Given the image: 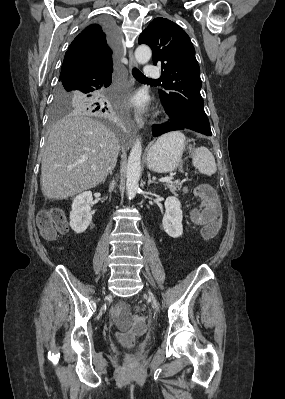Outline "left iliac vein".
<instances>
[{
	"instance_id": "obj_1",
	"label": "left iliac vein",
	"mask_w": 285,
	"mask_h": 399,
	"mask_svg": "<svg viewBox=\"0 0 285 399\" xmlns=\"http://www.w3.org/2000/svg\"><path fill=\"white\" fill-rule=\"evenodd\" d=\"M148 293H149V297H150V299L152 300L153 304H154L156 307H158V306H159V303H158L157 299L155 298L154 294H153L151 291H148Z\"/></svg>"
}]
</instances>
